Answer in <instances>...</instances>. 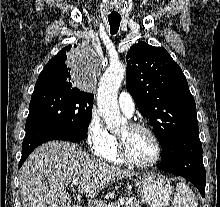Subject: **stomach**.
I'll return each mask as SVG.
<instances>
[{
	"label": "stomach",
	"mask_w": 220,
	"mask_h": 207,
	"mask_svg": "<svg viewBox=\"0 0 220 207\" xmlns=\"http://www.w3.org/2000/svg\"><path fill=\"white\" fill-rule=\"evenodd\" d=\"M142 201L150 207H167L171 202L172 185L160 174L148 173L135 181Z\"/></svg>",
	"instance_id": "0dacf381"
}]
</instances>
